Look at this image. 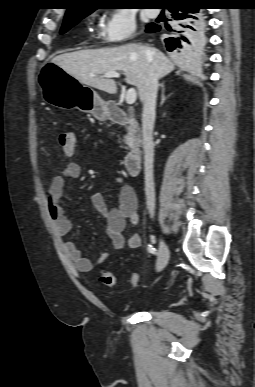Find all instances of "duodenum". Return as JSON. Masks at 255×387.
Returning a JSON list of instances; mask_svg holds the SVG:
<instances>
[{"label":"duodenum","mask_w":255,"mask_h":387,"mask_svg":"<svg viewBox=\"0 0 255 387\" xmlns=\"http://www.w3.org/2000/svg\"><path fill=\"white\" fill-rule=\"evenodd\" d=\"M107 116L111 121L128 127L133 145L124 158V169L130 176L138 175L142 163V150L140 145L141 130L138 121L117 106H110L107 111Z\"/></svg>","instance_id":"1"}]
</instances>
